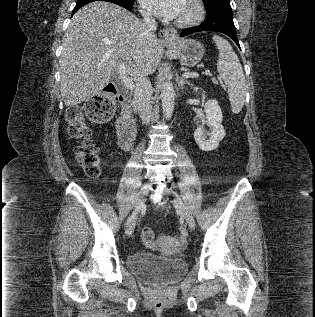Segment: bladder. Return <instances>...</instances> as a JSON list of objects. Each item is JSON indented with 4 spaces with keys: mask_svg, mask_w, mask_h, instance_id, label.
Returning <instances> with one entry per match:
<instances>
[{
    "mask_svg": "<svg viewBox=\"0 0 315 317\" xmlns=\"http://www.w3.org/2000/svg\"><path fill=\"white\" fill-rule=\"evenodd\" d=\"M187 263L180 258H166L146 252L128 256L127 268L143 281L150 284H170L187 271Z\"/></svg>",
    "mask_w": 315,
    "mask_h": 317,
    "instance_id": "1",
    "label": "bladder"
}]
</instances>
